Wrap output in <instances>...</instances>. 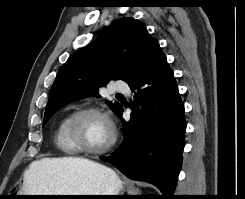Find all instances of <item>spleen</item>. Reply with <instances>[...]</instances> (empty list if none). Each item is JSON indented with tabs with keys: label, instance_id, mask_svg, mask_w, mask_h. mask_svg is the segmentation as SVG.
<instances>
[{
	"label": "spleen",
	"instance_id": "3e777b00",
	"mask_svg": "<svg viewBox=\"0 0 245 199\" xmlns=\"http://www.w3.org/2000/svg\"><path fill=\"white\" fill-rule=\"evenodd\" d=\"M130 192L132 193V195H137L138 190L133 188L130 190Z\"/></svg>",
	"mask_w": 245,
	"mask_h": 199
}]
</instances>
